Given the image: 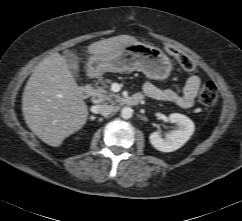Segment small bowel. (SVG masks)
<instances>
[{"instance_id": "c3829d8e", "label": "small bowel", "mask_w": 242, "mask_h": 221, "mask_svg": "<svg viewBox=\"0 0 242 221\" xmlns=\"http://www.w3.org/2000/svg\"><path fill=\"white\" fill-rule=\"evenodd\" d=\"M200 85L201 79L197 75H191L185 81L182 94H178L172 89L159 88L151 82L144 84L143 92L151 99L173 103L181 108L189 109L194 104Z\"/></svg>"}]
</instances>
